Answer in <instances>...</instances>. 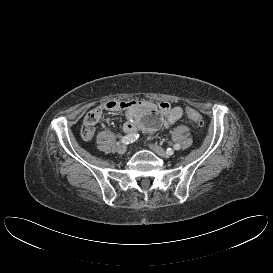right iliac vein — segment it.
<instances>
[{
    "label": "right iliac vein",
    "instance_id": "right-iliac-vein-1",
    "mask_svg": "<svg viewBox=\"0 0 273 273\" xmlns=\"http://www.w3.org/2000/svg\"><path fill=\"white\" fill-rule=\"evenodd\" d=\"M126 150H127L126 145H119L117 147V153L118 154H124L126 152Z\"/></svg>",
    "mask_w": 273,
    "mask_h": 273
}]
</instances>
